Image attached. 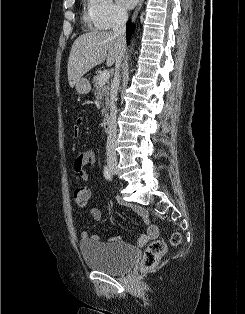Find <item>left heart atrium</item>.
<instances>
[{"instance_id":"39dd6f15","label":"left heart atrium","mask_w":245,"mask_h":314,"mask_svg":"<svg viewBox=\"0 0 245 314\" xmlns=\"http://www.w3.org/2000/svg\"><path fill=\"white\" fill-rule=\"evenodd\" d=\"M137 0H118V3L124 8H132Z\"/></svg>"}]
</instances>
